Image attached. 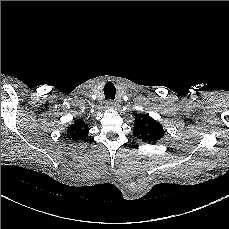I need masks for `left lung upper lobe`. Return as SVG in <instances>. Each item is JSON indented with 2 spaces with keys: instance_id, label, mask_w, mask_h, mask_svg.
<instances>
[{
  "instance_id": "left-lung-upper-lobe-1",
  "label": "left lung upper lobe",
  "mask_w": 229,
  "mask_h": 229,
  "mask_svg": "<svg viewBox=\"0 0 229 229\" xmlns=\"http://www.w3.org/2000/svg\"><path fill=\"white\" fill-rule=\"evenodd\" d=\"M133 133L142 141L154 144L164 136L165 132L159 122L150 117L149 114H145L135 116Z\"/></svg>"
}]
</instances>
